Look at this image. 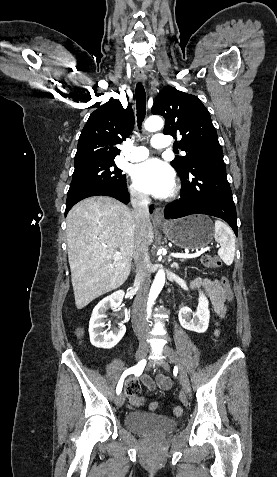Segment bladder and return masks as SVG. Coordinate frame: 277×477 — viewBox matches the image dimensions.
<instances>
[{
  "label": "bladder",
  "instance_id": "bladder-1",
  "mask_svg": "<svg viewBox=\"0 0 277 477\" xmlns=\"http://www.w3.org/2000/svg\"><path fill=\"white\" fill-rule=\"evenodd\" d=\"M125 424L130 430L139 434L161 435L175 429L178 422L155 413L133 411L126 415Z\"/></svg>",
  "mask_w": 277,
  "mask_h": 477
}]
</instances>
